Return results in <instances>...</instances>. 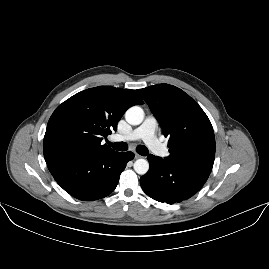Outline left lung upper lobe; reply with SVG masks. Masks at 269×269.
<instances>
[{"instance_id": "1", "label": "left lung upper lobe", "mask_w": 269, "mask_h": 269, "mask_svg": "<svg viewBox=\"0 0 269 269\" xmlns=\"http://www.w3.org/2000/svg\"><path fill=\"white\" fill-rule=\"evenodd\" d=\"M137 92L149 105L163 134L170 137V155L165 160L210 174L215 157L214 131L197 102L169 84H158Z\"/></svg>"}]
</instances>
